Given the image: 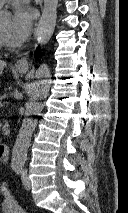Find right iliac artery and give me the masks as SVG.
<instances>
[{"label":"right iliac artery","mask_w":128,"mask_h":213,"mask_svg":"<svg viewBox=\"0 0 128 213\" xmlns=\"http://www.w3.org/2000/svg\"><path fill=\"white\" fill-rule=\"evenodd\" d=\"M20 166H14L13 169L16 171Z\"/></svg>","instance_id":"1"}]
</instances>
